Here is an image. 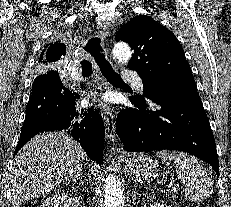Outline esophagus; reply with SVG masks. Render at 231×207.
Wrapping results in <instances>:
<instances>
[{
	"label": "esophagus",
	"mask_w": 231,
	"mask_h": 207,
	"mask_svg": "<svg viewBox=\"0 0 231 207\" xmlns=\"http://www.w3.org/2000/svg\"><path fill=\"white\" fill-rule=\"evenodd\" d=\"M98 32L102 38H105L109 34L110 24L108 22L99 21L98 25ZM102 116L105 123V131L106 137L110 140L114 145L117 141L116 139V130H115V112L110 106H104ZM117 151H120L117 147H115Z\"/></svg>",
	"instance_id": "obj_1"
}]
</instances>
